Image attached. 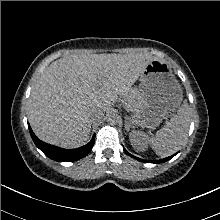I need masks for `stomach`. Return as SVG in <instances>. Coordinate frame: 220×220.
<instances>
[{"label": "stomach", "mask_w": 220, "mask_h": 220, "mask_svg": "<svg viewBox=\"0 0 220 220\" xmlns=\"http://www.w3.org/2000/svg\"><path fill=\"white\" fill-rule=\"evenodd\" d=\"M140 101L130 111L135 127L154 128L181 104L183 92L167 63L153 60L140 75Z\"/></svg>", "instance_id": "1"}]
</instances>
